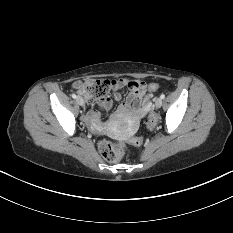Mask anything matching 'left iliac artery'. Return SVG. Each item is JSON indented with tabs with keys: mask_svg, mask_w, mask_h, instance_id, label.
<instances>
[{
	"mask_svg": "<svg viewBox=\"0 0 233 233\" xmlns=\"http://www.w3.org/2000/svg\"><path fill=\"white\" fill-rule=\"evenodd\" d=\"M160 98H161V99H164V98H165V95H164V94H161Z\"/></svg>",
	"mask_w": 233,
	"mask_h": 233,
	"instance_id": "44dca946",
	"label": "left iliac artery"
}]
</instances>
